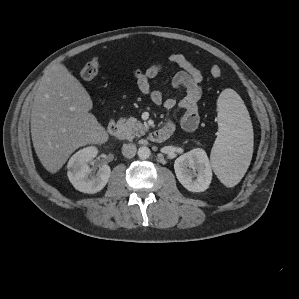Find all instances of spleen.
<instances>
[{
    "mask_svg": "<svg viewBox=\"0 0 299 299\" xmlns=\"http://www.w3.org/2000/svg\"><path fill=\"white\" fill-rule=\"evenodd\" d=\"M217 107L219 134L211 150V165L225 186L234 187L252 158V123L243 100L232 89L221 92Z\"/></svg>",
    "mask_w": 299,
    "mask_h": 299,
    "instance_id": "3e777b00",
    "label": "spleen"
}]
</instances>
